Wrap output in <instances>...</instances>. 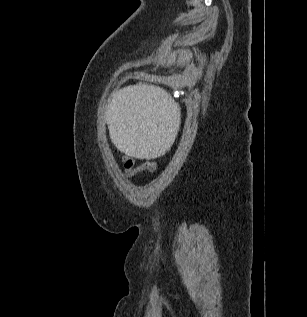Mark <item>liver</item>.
<instances>
[{
	"label": "liver",
	"instance_id": "obj_1",
	"mask_svg": "<svg viewBox=\"0 0 307 317\" xmlns=\"http://www.w3.org/2000/svg\"><path fill=\"white\" fill-rule=\"evenodd\" d=\"M137 86H145V85H137Z\"/></svg>",
	"mask_w": 307,
	"mask_h": 317
}]
</instances>
